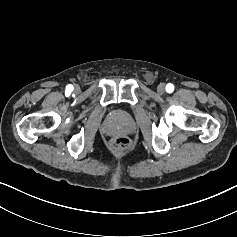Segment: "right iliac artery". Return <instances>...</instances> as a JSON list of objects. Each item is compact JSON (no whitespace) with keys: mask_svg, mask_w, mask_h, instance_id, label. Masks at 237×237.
Instances as JSON below:
<instances>
[{"mask_svg":"<svg viewBox=\"0 0 237 237\" xmlns=\"http://www.w3.org/2000/svg\"><path fill=\"white\" fill-rule=\"evenodd\" d=\"M73 91V86L71 84L66 86V95H69Z\"/></svg>","mask_w":237,"mask_h":237,"instance_id":"1","label":"right iliac artery"}]
</instances>
